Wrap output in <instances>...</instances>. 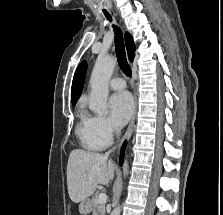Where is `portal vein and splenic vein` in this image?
I'll use <instances>...</instances> for the list:
<instances>
[{"instance_id":"18ae733b","label":"portal vein and splenic vein","mask_w":223,"mask_h":215,"mask_svg":"<svg viewBox=\"0 0 223 215\" xmlns=\"http://www.w3.org/2000/svg\"><path fill=\"white\" fill-rule=\"evenodd\" d=\"M98 201H99V203H106V201H107L106 193H100V195L98 197Z\"/></svg>"}]
</instances>
